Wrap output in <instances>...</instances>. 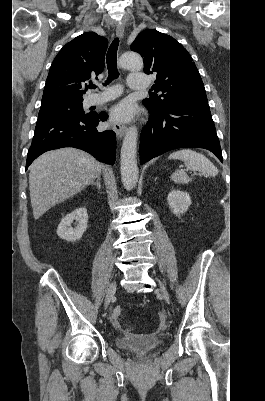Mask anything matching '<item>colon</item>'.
Listing matches in <instances>:
<instances>
[{"label":"colon","mask_w":265,"mask_h":401,"mask_svg":"<svg viewBox=\"0 0 265 401\" xmlns=\"http://www.w3.org/2000/svg\"><path fill=\"white\" fill-rule=\"evenodd\" d=\"M122 312H123V309L121 307L114 308L112 315H111V320L114 323H117V320L121 316Z\"/></svg>","instance_id":"colon-1"}]
</instances>
